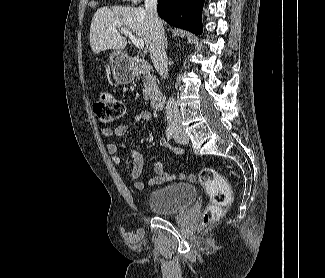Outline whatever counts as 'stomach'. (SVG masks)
<instances>
[{"instance_id":"1","label":"stomach","mask_w":325,"mask_h":278,"mask_svg":"<svg viewBox=\"0 0 325 278\" xmlns=\"http://www.w3.org/2000/svg\"><path fill=\"white\" fill-rule=\"evenodd\" d=\"M110 63L118 84H128L134 80L136 73L121 50H114L110 54Z\"/></svg>"}]
</instances>
